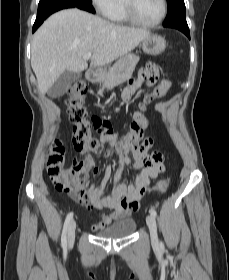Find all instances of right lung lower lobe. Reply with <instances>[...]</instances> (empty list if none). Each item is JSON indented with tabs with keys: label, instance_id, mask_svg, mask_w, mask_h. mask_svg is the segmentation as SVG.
Masks as SVG:
<instances>
[{
	"label": "right lung lower lobe",
	"instance_id": "obj_1",
	"mask_svg": "<svg viewBox=\"0 0 229 280\" xmlns=\"http://www.w3.org/2000/svg\"><path fill=\"white\" fill-rule=\"evenodd\" d=\"M75 7L81 10L95 13V10L92 7L91 3L84 0H40L38 5L37 17L33 25L32 32H34L52 13L62 9Z\"/></svg>",
	"mask_w": 229,
	"mask_h": 280
}]
</instances>
